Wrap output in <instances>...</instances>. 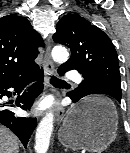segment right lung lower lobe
Listing matches in <instances>:
<instances>
[{
  "label": "right lung lower lobe",
  "mask_w": 130,
  "mask_h": 153,
  "mask_svg": "<svg viewBox=\"0 0 130 153\" xmlns=\"http://www.w3.org/2000/svg\"><path fill=\"white\" fill-rule=\"evenodd\" d=\"M43 69L24 76L0 81V123L12 130L21 140L26 148L29 138L37 125L36 119L16 117L14 112L8 109V103L1 101L3 96H11L9 88H15L21 91L28 83L36 81L27 92L18 96L16 105L22 109L28 110L33 104V100L41 93L43 89Z\"/></svg>",
  "instance_id": "obj_1"
}]
</instances>
